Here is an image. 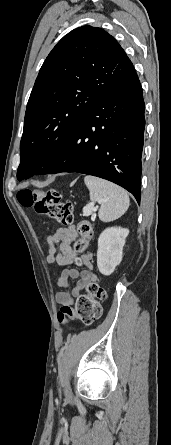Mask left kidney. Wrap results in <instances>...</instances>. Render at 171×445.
<instances>
[{
  "mask_svg": "<svg viewBox=\"0 0 171 445\" xmlns=\"http://www.w3.org/2000/svg\"><path fill=\"white\" fill-rule=\"evenodd\" d=\"M129 230L121 227L106 228L98 238L97 266L103 275H111L122 261V251Z\"/></svg>",
  "mask_w": 171,
  "mask_h": 445,
  "instance_id": "obj_1",
  "label": "left kidney"
}]
</instances>
